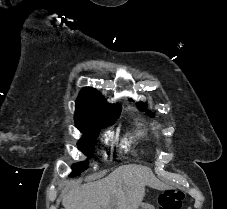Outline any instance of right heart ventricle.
<instances>
[{
  "label": "right heart ventricle",
  "instance_id": "right-heart-ventricle-1",
  "mask_svg": "<svg viewBox=\"0 0 227 209\" xmlns=\"http://www.w3.org/2000/svg\"><path fill=\"white\" fill-rule=\"evenodd\" d=\"M145 133H146V128L143 126V124L140 123V122H136L134 130H133L132 135H131V139H135V138L141 137ZM127 143L128 142H126V144L124 146L125 148L127 146Z\"/></svg>",
  "mask_w": 227,
  "mask_h": 209
}]
</instances>
